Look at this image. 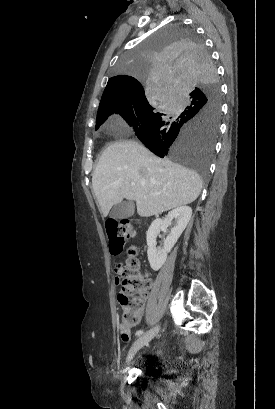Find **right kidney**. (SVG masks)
<instances>
[{"mask_svg":"<svg viewBox=\"0 0 275 409\" xmlns=\"http://www.w3.org/2000/svg\"><path fill=\"white\" fill-rule=\"evenodd\" d=\"M192 215L191 207H177L170 211L164 219H155L152 225H150L147 235V257L153 271H159L163 267L168 253L173 249L175 243H177L180 235H182L184 229H186ZM172 219H175L176 225L171 229L169 235H167L164 241V249H157L156 237L160 233V229H165L167 225H170Z\"/></svg>","mask_w":275,"mask_h":409,"instance_id":"right-kidney-1","label":"right kidney"}]
</instances>
